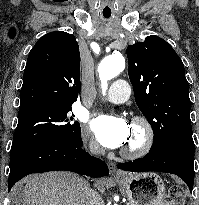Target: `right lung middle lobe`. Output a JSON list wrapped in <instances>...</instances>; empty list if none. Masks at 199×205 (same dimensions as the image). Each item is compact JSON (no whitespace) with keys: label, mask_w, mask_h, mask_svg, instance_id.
Wrapping results in <instances>:
<instances>
[{"label":"right lung middle lobe","mask_w":199,"mask_h":205,"mask_svg":"<svg viewBox=\"0 0 199 205\" xmlns=\"http://www.w3.org/2000/svg\"><path fill=\"white\" fill-rule=\"evenodd\" d=\"M72 104L36 106L19 111L10 154L52 141H81L80 124L73 122Z\"/></svg>","instance_id":"1"}]
</instances>
